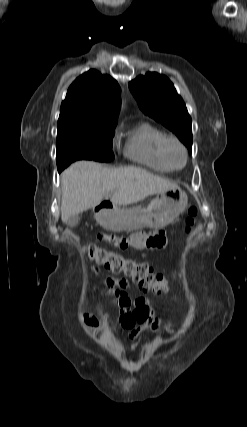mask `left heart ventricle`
Returning a JSON list of instances; mask_svg holds the SVG:
<instances>
[{
    "instance_id": "left-heart-ventricle-1",
    "label": "left heart ventricle",
    "mask_w": 247,
    "mask_h": 427,
    "mask_svg": "<svg viewBox=\"0 0 247 427\" xmlns=\"http://www.w3.org/2000/svg\"><path fill=\"white\" fill-rule=\"evenodd\" d=\"M170 156L172 161L176 164V165H180L183 161V153L182 151L176 147L173 146L170 150Z\"/></svg>"
}]
</instances>
